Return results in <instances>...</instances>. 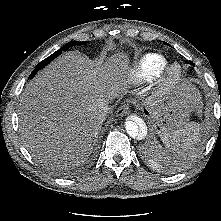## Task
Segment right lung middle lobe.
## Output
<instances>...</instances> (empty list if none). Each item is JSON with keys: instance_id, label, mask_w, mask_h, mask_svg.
Returning a JSON list of instances; mask_svg holds the SVG:
<instances>
[{"instance_id": "1", "label": "right lung middle lobe", "mask_w": 221, "mask_h": 221, "mask_svg": "<svg viewBox=\"0 0 221 221\" xmlns=\"http://www.w3.org/2000/svg\"><path fill=\"white\" fill-rule=\"evenodd\" d=\"M87 41H83V42H77V41H71L68 42L67 44H65L62 48H60L59 50H57L55 53H53L52 55H50L49 57H47L46 59H44L43 61H41L36 68L33 70V72L30 74V78L33 77L40 69H42L43 67H45L48 63H50V61H52L54 58H56L58 55H60L62 53V51L66 50L67 48L71 47V46H76V45H84L86 44Z\"/></svg>"}]
</instances>
